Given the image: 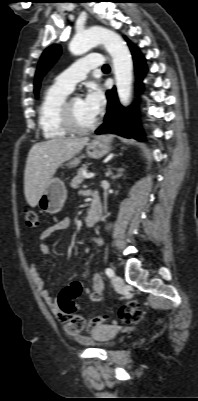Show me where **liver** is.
Returning <instances> with one entry per match:
<instances>
[{"label": "liver", "mask_w": 198, "mask_h": 401, "mask_svg": "<svg viewBox=\"0 0 198 401\" xmlns=\"http://www.w3.org/2000/svg\"><path fill=\"white\" fill-rule=\"evenodd\" d=\"M88 142V137L54 138L32 146L24 172V193L31 207L38 204L58 167L78 154Z\"/></svg>", "instance_id": "liver-1"}]
</instances>
